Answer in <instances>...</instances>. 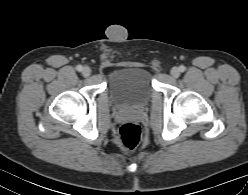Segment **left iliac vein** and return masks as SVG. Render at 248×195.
I'll list each match as a JSON object with an SVG mask.
<instances>
[{
    "mask_svg": "<svg viewBox=\"0 0 248 195\" xmlns=\"http://www.w3.org/2000/svg\"><path fill=\"white\" fill-rule=\"evenodd\" d=\"M171 75L174 77V78H177L180 76V70L178 67H173L171 69Z\"/></svg>",
    "mask_w": 248,
    "mask_h": 195,
    "instance_id": "1",
    "label": "left iliac vein"
}]
</instances>
